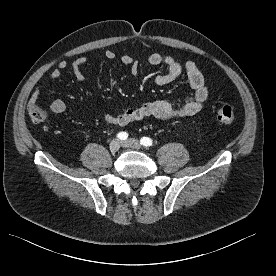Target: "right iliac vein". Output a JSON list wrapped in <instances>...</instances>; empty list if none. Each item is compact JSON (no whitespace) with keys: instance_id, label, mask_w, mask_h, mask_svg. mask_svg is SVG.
<instances>
[{"instance_id":"1","label":"right iliac vein","mask_w":276,"mask_h":276,"mask_svg":"<svg viewBox=\"0 0 276 276\" xmlns=\"http://www.w3.org/2000/svg\"><path fill=\"white\" fill-rule=\"evenodd\" d=\"M120 147L121 143L118 139L112 140L109 146L111 152H117L120 149Z\"/></svg>"}]
</instances>
